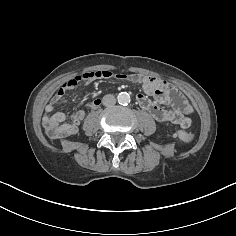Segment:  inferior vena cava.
I'll use <instances>...</instances> for the list:
<instances>
[{
    "label": "inferior vena cava",
    "instance_id": "obj_1",
    "mask_svg": "<svg viewBox=\"0 0 236 236\" xmlns=\"http://www.w3.org/2000/svg\"><path fill=\"white\" fill-rule=\"evenodd\" d=\"M102 103L106 107H112L116 103V98L111 94L105 95L102 99Z\"/></svg>",
    "mask_w": 236,
    "mask_h": 236
}]
</instances>
